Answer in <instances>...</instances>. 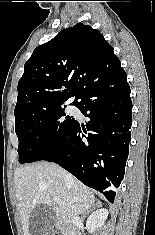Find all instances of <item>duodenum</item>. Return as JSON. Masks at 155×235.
Instances as JSON below:
<instances>
[{
	"label": "duodenum",
	"instance_id": "410a0bca",
	"mask_svg": "<svg viewBox=\"0 0 155 235\" xmlns=\"http://www.w3.org/2000/svg\"><path fill=\"white\" fill-rule=\"evenodd\" d=\"M59 228L62 235H79V232L75 227L68 225L66 223L61 224Z\"/></svg>",
	"mask_w": 155,
	"mask_h": 235
}]
</instances>
